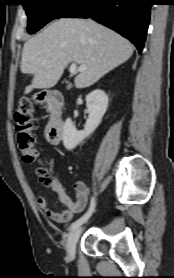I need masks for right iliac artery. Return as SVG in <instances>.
Returning a JSON list of instances; mask_svg holds the SVG:
<instances>
[{
  "instance_id": "right-iliac-artery-1",
  "label": "right iliac artery",
  "mask_w": 174,
  "mask_h": 278,
  "mask_svg": "<svg viewBox=\"0 0 174 278\" xmlns=\"http://www.w3.org/2000/svg\"><path fill=\"white\" fill-rule=\"evenodd\" d=\"M94 208H95V199L92 197L88 211L81 218H79L78 220H76L71 224L70 230L71 231L75 230L80 225H82L91 216L92 212L94 211Z\"/></svg>"
}]
</instances>
